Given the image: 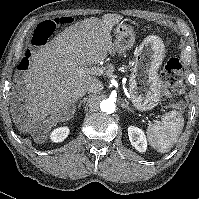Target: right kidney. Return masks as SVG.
<instances>
[{
	"instance_id": "obj_1",
	"label": "right kidney",
	"mask_w": 199,
	"mask_h": 199,
	"mask_svg": "<svg viewBox=\"0 0 199 199\" xmlns=\"http://www.w3.org/2000/svg\"><path fill=\"white\" fill-rule=\"evenodd\" d=\"M69 135L68 127H59L52 131L50 139L52 142H62Z\"/></svg>"
}]
</instances>
